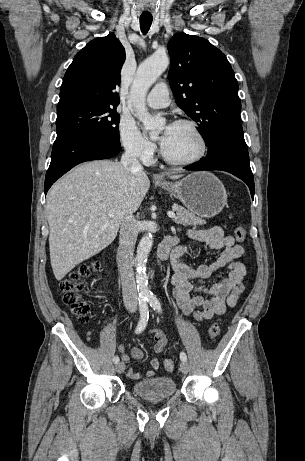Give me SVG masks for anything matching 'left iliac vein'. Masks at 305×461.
Instances as JSON below:
<instances>
[{"mask_svg":"<svg viewBox=\"0 0 305 461\" xmlns=\"http://www.w3.org/2000/svg\"><path fill=\"white\" fill-rule=\"evenodd\" d=\"M180 369H181L183 374H187L188 371H189L188 363L186 361H182L181 364H180Z\"/></svg>","mask_w":305,"mask_h":461,"instance_id":"1","label":"left iliac vein"}]
</instances>
